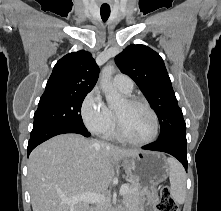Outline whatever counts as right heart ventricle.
Returning <instances> with one entry per match:
<instances>
[{
	"instance_id": "e07e8e85",
	"label": "right heart ventricle",
	"mask_w": 221,
	"mask_h": 211,
	"mask_svg": "<svg viewBox=\"0 0 221 211\" xmlns=\"http://www.w3.org/2000/svg\"><path fill=\"white\" fill-rule=\"evenodd\" d=\"M106 136L112 139L118 138V135L116 131L114 130V127L109 131V133Z\"/></svg>"
}]
</instances>
